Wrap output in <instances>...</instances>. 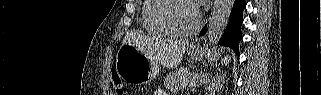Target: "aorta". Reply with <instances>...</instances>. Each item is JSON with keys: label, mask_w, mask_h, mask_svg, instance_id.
<instances>
[{"label": "aorta", "mask_w": 321, "mask_h": 95, "mask_svg": "<svg viewBox=\"0 0 321 95\" xmlns=\"http://www.w3.org/2000/svg\"><path fill=\"white\" fill-rule=\"evenodd\" d=\"M234 0H214L211 16L207 29L210 44L218 42L229 21Z\"/></svg>", "instance_id": "1"}]
</instances>
